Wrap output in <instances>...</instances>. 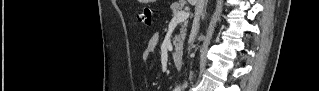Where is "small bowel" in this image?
I'll list each match as a JSON object with an SVG mask.
<instances>
[{"label": "small bowel", "mask_w": 319, "mask_h": 91, "mask_svg": "<svg viewBox=\"0 0 319 91\" xmlns=\"http://www.w3.org/2000/svg\"><path fill=\"white\" fill-rule=\"evenodd\" d=\"M158 38L157 36H152L148 42L147 48L142 53V61L150 62L152 59V54L157 46Z\"/></svg>", "instance_id": "c3829d8e"}]
</instances>
